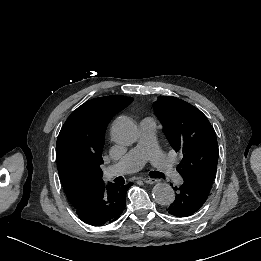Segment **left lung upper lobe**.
I'll return each instance as SVG.
<instances>
[{
    "label": "left lung upper lobe",
    "instance_id": "left-lung-upper-lobe-1",
    "mask_svg": "<svg viewBox=\"0 0 261 261\" xmlns=\"http://www.w3.org/2000/svg\"><path fill=\"white\" fill-rule=\"evenodd\" d=\"M153 108L169 143L183 153L177 167L180 175L211 188L219 149L215 131L207 117L196 107L172 96L158 97Z\"/></svg>",
    "mask_w": 261,
    "mask_h": 261
}]
</instances>
